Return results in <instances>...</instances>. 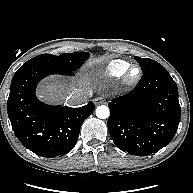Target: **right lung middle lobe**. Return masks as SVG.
I'll return each instance as SVG.
<instances>
[{
  "label": "right lung middle lobe",
  "mask_w": 193,
  "mask_h": 193,
  "mask_svg": "<svg viewBox=\"0 0 193 193\" xmlns=\"http://www.w3.org/2000/svg\"><path fill=\"white\" fill-rule=\"evenodd\" d=\"M88 58L89 54L87 52L61 54L59 56L42 54L27 61L20 69L40 67L51 70L74 71L78 69Z\"/></svg>",
  "instance_id": "obj_1"
}]
</instances>
